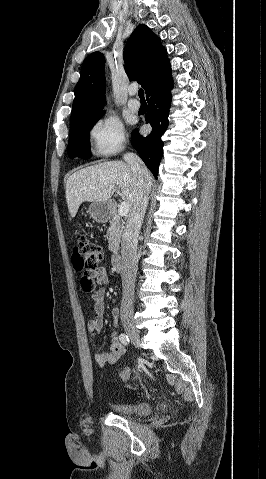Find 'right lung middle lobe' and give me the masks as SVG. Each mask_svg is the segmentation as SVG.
<instances>
[{
	"label": "right lung middle lobe",
	"mask_w": 266,
	"mask_h": 479,
	"mask_svg": "<svg viewBox=\"0 0 266 479\" xmlns=\"http://www.w3.org/2000/svg\"><path fill=\"white\" fill-rule=\"evenodd\" d=\"M104 113L82 118L70 123L68 154L70 158L88 159L90 156L89 134L92 127Z\"/></svg>",
	"instance_id": "obj_1"
}]
</instances>
